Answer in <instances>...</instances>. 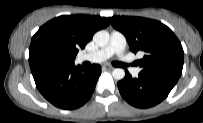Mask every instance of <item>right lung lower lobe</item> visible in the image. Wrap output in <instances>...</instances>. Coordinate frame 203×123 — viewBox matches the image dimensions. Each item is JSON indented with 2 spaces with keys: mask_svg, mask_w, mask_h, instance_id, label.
I'll use <instances>...</instances> for the list:
<instances>
[{
  "mask_svg": "<svg viewBox=\"0 0 203 123\" xmlns=\"http://www.w3.org/2000/svg\"><path fill=\"white\" fill-rule=\"evenodd\" d=\"M31 71L38 90L49 102L62 109H75L91 97L101 67L84 69L72 63L38 66Z\"/></svg>",
  "mask_w": 203,
  "mask_h": 123,
  "instance_id": "1",
  "label": "right lung lower lobe"
}]
</instances>
